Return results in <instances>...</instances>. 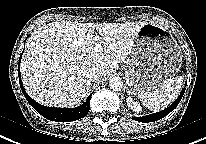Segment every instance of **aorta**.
<instances>
[{
    "instance_id": "1",
    "label": "aorta",
    "mask_w": 206,
    "mask_h": 144,
    "mask_svg": "<svg viewBox=\"0 0 206 144\" xmlns=\"http://www.w3.org/2000/svg\"><path fill=\"white\" fill-rule=\"evenodd\" d=\"M109 86L114 91H120L123 87V81L119 77L110 79Z\"/></svg>"
}]
</instances>
